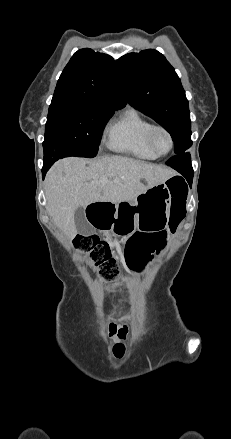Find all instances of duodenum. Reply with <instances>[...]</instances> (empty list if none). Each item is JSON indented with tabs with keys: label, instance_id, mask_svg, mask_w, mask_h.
<instances>
[{
	"label": "duodenum",
	"instance_id": "duodenum-1",
	"mask_svg": "<svg viewBox=\"0 0 231 439\" xmlns=\"http://www.w3.org/2000/svg\"><path fill=\"white\" fill-rule=\"evenodd\" d=\"M111 205L109 202H103V203H95L92 205L93 212L90 215V222L92 220H102L108 213V208Z\"/></svg>",
	"mask_w": 231,
	"mask_h": 439
}]
</instances>
